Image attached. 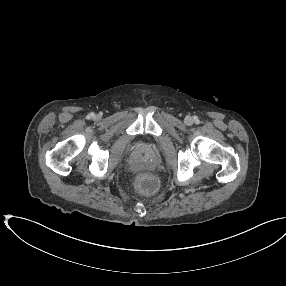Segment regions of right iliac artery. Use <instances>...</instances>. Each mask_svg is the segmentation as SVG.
Instances as JSON below:
<instances>
[{
	"instance_id": "right-iliac-artery-1",
	"label": "right iliac artery",
	"mask_w": 286,
	"mask_h": 286,
	"mask_svg": "<svg viewBox=\"0 0 286 286\" xmlns=\"http://www.w3.org/2000/svg\"><path fill=\"white\" fill-rule=\"evenodd\" d=\"M93 116H94V114H93V113H90V114H89V117H90V118H91V117H93Z\"/></svg>"
}]
</instances>
